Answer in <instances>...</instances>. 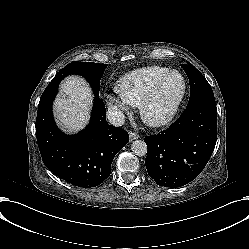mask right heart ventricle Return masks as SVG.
Returning a JSON list of instances; mask_svg holds the SVG:
<instances>
[{
  "instance_id": "obj_1",
  "label": "right heart ventricle",
  "mask_w": 249,
  "mask_h": 249,
  "mask_svg": "<svg viewBox=\"0 0 249 249\" xmlns=\"http://www.w3.org/2000/svg\"><path fill=\"white\" fill-rule=\"evenodd\" d=\"M167 72L168 69L161 66L136 69L120 81L116 90L127 103L139 106Z\"/></svg>"
}]
</instances>
